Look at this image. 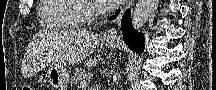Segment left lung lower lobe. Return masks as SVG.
Listing matches in <instances>:
<instances>
[{
    "mask_svg": "<svg viewBox=\"0 0 216 90\" xmlns=\"http://www.w3.org/2000/svg\"><path fill=\"white\" fill-rule=\"evenodd\" d=\"M118 15V13H116ZM115 16L110 17L109 19H114ZM122 33L125 43L133 51L138 53L142 52L144 49V38L142 34H138L132 27V20L130 11L127 10L121 20Z\"/></svg>",
    "mask_w": 216,
    "mask_h": 90,
    "instance_id": "obj_1",
    "label": "left lung lower lobe"
}]
</instances>
